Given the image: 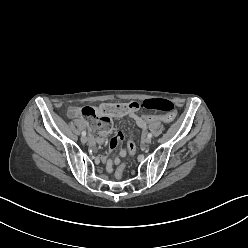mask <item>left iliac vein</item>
Returning a JSON list of instances; mask_svg holds the SVG:
<instances>
[{
	"mask_svg": "<svg viewBox=\"0 0 248 248\" xmlns=\"http://www.w3.org/2000/svg\"><path fill=\"white\" fill-rule=\"evenodd\" d=\"M145 143L150 144L151 143V138H145Z\"/></svg>",
	"mask_w": 248,
	"mask_h": 248,
	"instance_id": "4c4485c4",
	"label": "left iliac vein"
}]
</instances>
